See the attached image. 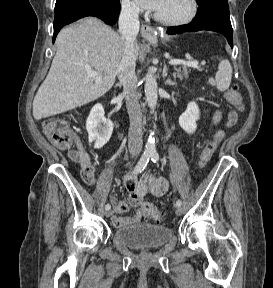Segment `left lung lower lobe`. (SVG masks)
Listing matches in <instances>:
<instances>
[{
	"label": "left lung lower lobe",
	"instance_id": "obj_1",
	"mask_svg": "<svg viewBox=\"0 0 273 288\" xmlns=\"http://www.w3.org/2000/svg\"><path fill=\"white\" fill-rule=\"evenodd\" d=\"M210 30L223 34L233 47V30L227 0H213L199 5L197 14L191 23L167 29V34L185 31Z\"/></svg>",
	"mask_w": 273,
	"mask_h": 288
}]
</instances>
